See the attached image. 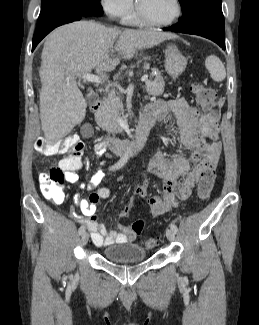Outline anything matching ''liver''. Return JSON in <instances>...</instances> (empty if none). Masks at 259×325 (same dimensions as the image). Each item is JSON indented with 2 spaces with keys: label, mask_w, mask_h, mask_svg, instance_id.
Wrapping results in <instances>:
<instances>
[{
  "label": "liver",
  "mask_w": 259,
  "mask_h": 325,
  "mask_svg": "<svg viewBox=\"0 0 259 325\" xmlns=\"http://www.w3.org/2000/svg\"><path fill=\"white\" fill-rule=\"evenodd\" d=\"M176 38L158 30L121 31L84 20L55 29L45 40L39 70L40 119L47 141L61 140L85 118L87 103L78 77L94 69L107 79L106 72L115 69L120 56L131 59L137 50Z\"/></svg>",
  "instance_id": "1"
}]
</instances>
